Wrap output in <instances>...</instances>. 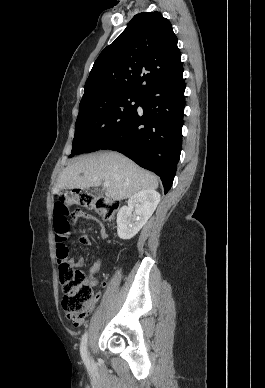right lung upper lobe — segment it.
Returning <instances> with one entry per match:
<instances>
[{"label": "right lung upper lobe", "instance_id": "obj_1", "mask_svg": "<svg viewBox=\"0 0 265 388\" xmlns=\"http://www.w3.org/2000/svg\"><path fill=\"white\" fill-rule=\"evenodd\" d=\"M170 22L159 12H142L95 61L84 97L103 91L142 95L183 74L181 53Z\"/></svg>", "mask_w": 265, "mask_h": 388}]
</instances>
